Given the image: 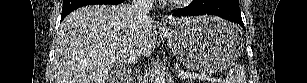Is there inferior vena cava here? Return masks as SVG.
<instances>
[{
  "label": "inferior vena cava",
  "instance_id": "602c4592",
  "mask_svg": "<svg viewBox=\"0 0 307 83\" xmlns=\"http://www.w3.org/2000/svg\"><path fill=\"white\" fill-rule=\"evenodd\" d=\"M152 7V0H133L130 6L131 13L142 22L149 19L148 14ZM141 58L140 54H134L132 60L134 62ZM138 83H143V76L136 74Z\"/></svg>",
  "mask_w": 307,
  "mask_h": 83
}]
</instances>
